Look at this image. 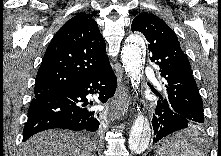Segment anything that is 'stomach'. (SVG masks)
I'll return each instance as SVG.
<instances>
[{
    "mask_svg": "<svg viewBox=\"0 0 221 156\" xmlns=\"http://www.w3.org/2000/svg\"><path fill=\"white\" fill-rule=\"evenodd\" d=\"M158 154H159V156H164L161 149H159Z\"/></svg>",
    "mask_w": 221,
    "mask_h": 156,
    "instance_id": "obj_1",
    "label": "stomach"
}]
</instances>
